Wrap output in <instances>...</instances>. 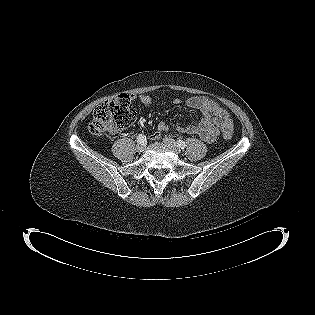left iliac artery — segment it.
<instances>
[{"mask_svg":"<svg viewBox=\"0 0 315 315\" xmlns=\"http://www.w3.org/2000/svg\"><path fill=\"white\" fill-rule=\"evenodd\" d=\"M177 144H178L179 148H181V149H184L186 147V144H185V142L183 140L179 139L177 141Z\"/></svg>","mask_w":315,"mask_h":315,"instance_id":"left-iliac-artery-1","label":"left iliac artery"}]
</instances>
